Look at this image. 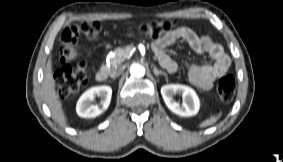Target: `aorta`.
<instances>
[{
  "label": "aorta",
  "instance_id": "aorta-1",
  "mask_svg": "<svg viewBox=\"0 0 283 162\" xmlns=\"http://www.w3.org/2000/svg\"><path fill=\"white\" fill-rule=\"evenodd\" d=\"M130 73L135 77H143L145 75V68L140 64H132Z\"/></svg>",
  "mask_w": 283,
  "mask_h": 162
}]
</instances>
